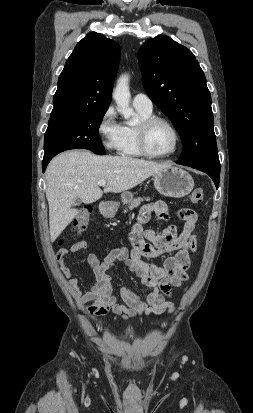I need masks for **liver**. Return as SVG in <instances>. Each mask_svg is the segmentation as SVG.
Segmentation results:
<instances>
[{
	"mask_svg": "<svg viewBox=\"0 0 253 413\" xmlns=\"http://www.w3.org/2000/svg\"><path fill=\"white\" fill-rule=\"evenodd\" d=\"M171 167L128 156H96L87 150H71L54 157L46 169L50 239L54 242L78 215L75 199L99 200L103 193L125 192L150 176ZM105 181L102 191L98 182Z\"/></svg>",
	"mask_w": 253,
	"mask_h": 413,
	"instance_id": "obj_1",
	"label": "liver"
}]
</instances>
